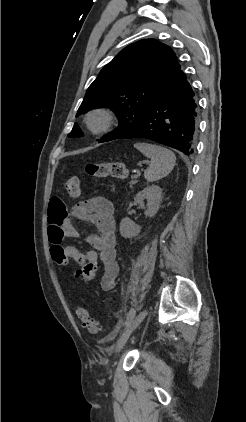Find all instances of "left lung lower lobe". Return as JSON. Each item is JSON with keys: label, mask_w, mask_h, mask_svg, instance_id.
Wrapping results in <instances>:
<instances>
[{"label": "left lung lower lobe", "mask_w": 246, "mask_h": 422, "mask_svg": "<svg viewBox=\"0 0 246 422\" xmlns=\"http://www.w3.org/2000/svg\"><path fill=\"white\" fill-rule=\"evenodd\" d=\"M197 130L195 94L180 68L156 95L141 119L116 139L146 138L192 157Z\"/></svg>", "instance_id": "obj_1"}]
</instances>
